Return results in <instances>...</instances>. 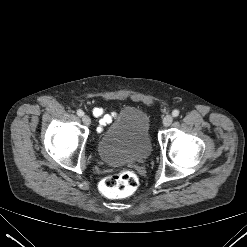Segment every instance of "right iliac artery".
Returning a JSON list of instances; mask_svg holds the SVG:
<instances>
[{"mask_svg":"<svg viewBox=\"0 0 247 247\" xmlns=\"http://www.w3.org/2000/svg\"><path fill=\"white\" fill-rule=\"evenodd\" d=\"M77 115L81 117L84 115V112L81 109H79L77 110Z\"/></svg>","mask_w":247,"mask_h":247,"instance_id":"obj_1","label":"right iliac artery"}]
</instances>
